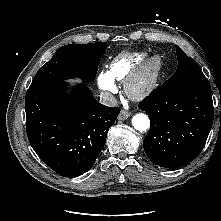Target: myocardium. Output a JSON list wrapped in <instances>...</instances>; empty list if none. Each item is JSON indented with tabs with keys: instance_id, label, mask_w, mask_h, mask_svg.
Segmentation results:
<instances>
[{
	"instance_id": "1",
	"label": "myocardium",
	"mask_w": 221,
	"mask_h": 221,
	"mask_svg": "<svg viewBox=\"0 0 221 221\" xmlns=\"http://www.w3.org/2000/svg\"><path fill=\"white\" fill-rule=\"evenodd\" d=\"M163 60L160 55L146 57L125 79L124 90L134 100L148 96L158 85ZM146 77V80H143Z\"/></svg>"
}]
</instances>
